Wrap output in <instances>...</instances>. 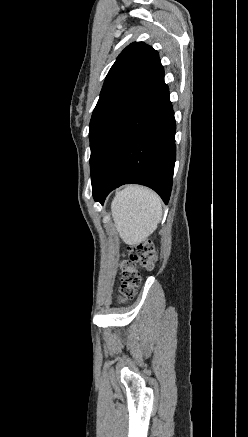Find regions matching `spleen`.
I'll return each mask as SVG.
<instances>
[{
	"instance_id": "1",
	"label": "spleen",
	"mask_w": 248,
	"mask_h": 437,
	"mask_svg": "<svg viewBox=\"0 0 248 437\" xmlns=\"http://www.w3.org/2000/svg\"><path fill=\"white\" fill-rule=\"evenodd\" d=\"M111 211L122 240L135 244L160 222L162 201L151 189L130 185L116 194Z\"/></svg>"
}]
</instances>
